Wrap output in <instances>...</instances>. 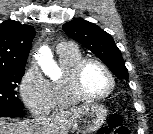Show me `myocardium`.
Listing matches in <instances>:
<instances>
[{"mask_svg":"<svg viewBox=\"0 0 153 134\" xmlns=\"http://www.w3.org/2000/svg\"><path fill=\"white\" fill-rule=\"evenodd\" d=\"M90 64L98 65L108 75L111 82V86L107 92L103 94H99V95H91L84 90L83 82H82L83 74L86 67ZM69 85H70L72 94L80 101H99V100L107 98L114 92L116 88V79L113 72L104 62H102L101 60L97 58L89 57V58H82L73 67V69L71 70L69 74Z\"/></svg>","mask_w":153,"mask_h":134,"instance_id":"1","label":"myocardium"}]
</instances>
